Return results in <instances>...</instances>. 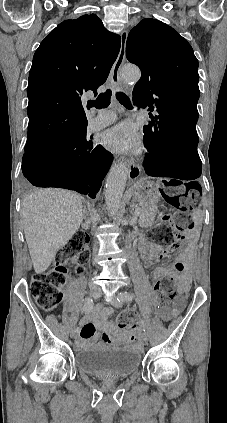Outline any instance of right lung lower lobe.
<instances>
[{
    "instance_id": "1",
    "label": "right lung lower lobe",
    "mask_w": 227,
    "mask_h": 423,
    "mask_svg": "<svg viewBox=\"0 0 227 423\" xmlns=\"http://www.w3.org/2000/svg\"><path fill=\"white\" fill-rule=\"evenodd\" d=\"M55 109L41 107L36 116L50 115ZM86 126L69 130L58 138L25 151L22 172L37 187H57L95 198L113 160L110 152L92 144Z\"/></svg>"
}]
</instances>
